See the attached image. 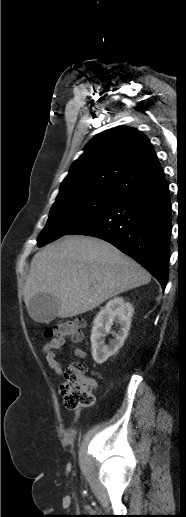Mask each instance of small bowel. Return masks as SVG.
I'll return each mask as SVG.
<instances>
[{"mask_svg":"<svg viewBox=\"0 0 186 517\" xmlns=\"http://www.w3.org/2000/svg\"><path fill=\"white\" fill-rule=\"evenodd\" d=\"M65 344L66 340L64 338H53L46 343L42 349L47 364L57 375H61L63 371L62 364L57 358V352H59ZM73 352L78 358L84 359L86 357L85 352L79 347H74ZM79 417L80 410H76L73 417V423H77Z\"/></svg>","mask_w":186,"mask_h":517,"instance_id":"1","label":"small bowel"}]
</instances>
